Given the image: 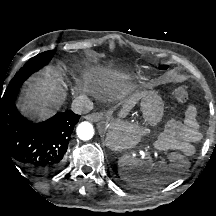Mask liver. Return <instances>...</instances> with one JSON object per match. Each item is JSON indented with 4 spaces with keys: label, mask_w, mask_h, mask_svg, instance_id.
<instances>
[{
    "label": "liver",
    "mask_w": 216,
    "mask_h": 216,
    "mask_svg": "<svg viewBox=\"0 0 216 216\" xmlns=\"http://www.w3.org/2000/svg\"><path fill=\"white\" fill-rule=\"evenodd\" d=\"M43 77L34 79L19 100L21 110L33 118L43 120L51 116L65 100V90L61 86L62 75L55 68L48 67L42 72ZM129 77L112 70L102 69L95 73L94 84L109 90L121 92L125 99L126 110L133 108L140 100L142 93L128 83Z\"/></svg>",
    "instance_id": "obj_1"
}]
</instances>
